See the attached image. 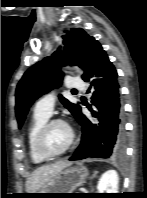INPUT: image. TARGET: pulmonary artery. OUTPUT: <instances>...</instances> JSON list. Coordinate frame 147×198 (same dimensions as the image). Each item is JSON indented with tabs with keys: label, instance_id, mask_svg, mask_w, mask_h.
<instances>
[{
	"label": "pulmonary artery",
	"instance_id": "1",
	"mask_svg": "<svg viewBox=\"0 0 147 198\" xmlns=\"http://www.w3.org/2000/svg\"><path fill=\"white\" fill-rule=\"evenodd\" d=\"M84 83L79 78H72L70 79L68 83V87L70 89H84ZM56 96L54 93H49L42 97L34 107V113L45 115V116H51L53 113L54 105H55Z\"/></svg>",
	"mask_w": 147,
	"mask_h": 198
}]
</instances>
